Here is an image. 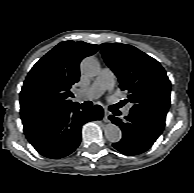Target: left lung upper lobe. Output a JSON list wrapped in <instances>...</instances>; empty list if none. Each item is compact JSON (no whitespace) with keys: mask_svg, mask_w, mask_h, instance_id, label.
<instances>
[{"mask_svg":"<svg viewBox=\"0 0 194 193\" xmlns=\"http://www.w3.org/2000/svg\"><path fill=\"white\" fill-rule=\"evenodd\" d=\"M101 53L117 75L119 87L128 92L124 101L133 104L130 111L166 117L171 83L158 61L131 45L120 43H103Z\"/></svg>","mask_w":194,"mask_h":193,"instance_id":"obj_1","label":"left lung upper lobe"}]
</instances>
